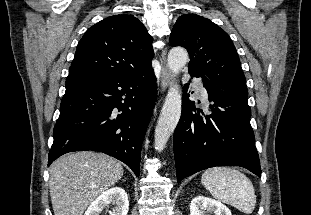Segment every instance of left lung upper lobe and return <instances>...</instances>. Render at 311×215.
<instances>
[{
    "instance_id": "1",
    "label": "left lung upper lobe",
    "mask_w": 311,
    "mask_h": 215,
    "mask_svg": "<svg viewBox=\"0 0 311 215\" xmlns=\"http://www.w3.org/2000/svg\"><path fill=\"white\" fill-rule=\"evenodd\" d=\"M172 46H183L195 68L218 88L248 97L246 79L238 53L229 35L207 18L182 15L170 35Z\"/></svg>"
}]
</instances>
